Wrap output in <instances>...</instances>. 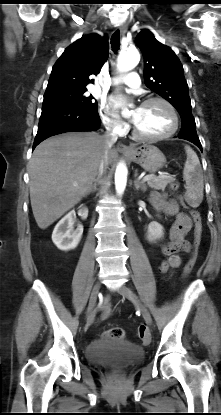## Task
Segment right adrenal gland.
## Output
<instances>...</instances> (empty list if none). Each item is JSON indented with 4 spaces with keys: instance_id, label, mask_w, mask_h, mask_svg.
Segmentation results:
<instances>
[{
    "instance_id": "right-adrenal-gland-1",
    "label": "right adrenal gland",
    "mask_w": 221,
    "mask_h": 415,
    "mask_svg": "<svg viewBox=\"0 0 221 415\" xmlns=\"http://www.w3.org/2000/svg\"><path fill=\"white\" fill-rule=\"evenodd\" d=\"M99 179H95L93 185L90 187L89 194L96 192Z\"/></svg>"
}]
</instances>
